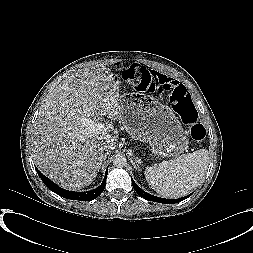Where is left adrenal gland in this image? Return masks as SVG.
Returning a JSON list of instances; mask_svg holds the SVG:
<instances>
[{"mask_svg": "<svg viewBox=\"0 0 253 253\" xmlns=\"http://www.w3.org/2000/svg\"><path fill=\"white\" fill-rule=\"evenodd\" d=\"M132 162H133V164H134V168H136L137 170H139V171H140L139 166H138V165H137V166L135 165V161H133V160H132Z\"/></svg>", "mask_w": 253, "mask_h": 253, "instance_id": "1", "label": "left adrenal gland"}]
</instances>
